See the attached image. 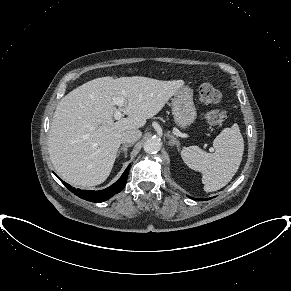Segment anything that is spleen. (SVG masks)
Listing matches in <instances>:
<instances>
[{"mask_svg": "<svg viewBox=\"0 0 291 291\" xmlns=\"http://www.w3.org/2000/svg\"><path fill=\"white\" fill-rule=\"evenodd\" d=\"M213 154L197 146L185 147L181 157L187 166L202 173V183L206 192L217 191L226 186L237 172L242 161L244 140L239 126L225 128L214 139Z\"/></svg>", "mask_w": 291, "mask_h": 291, "instance_id": "1", "label": "spleen"}]
</instances>
